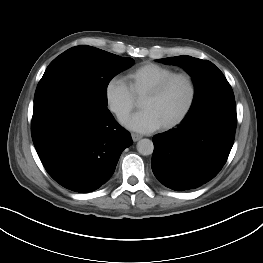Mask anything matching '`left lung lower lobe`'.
Here are the masks:
<instances>
[{
	"instance_id": "0a47b994",
	"label": "left lung lower lobe",
	"mask_w": 263,
	"mask_h": 263,
	"mask_svg": "<svg viewBox=\"0 0 263 263\" xmlns=\"http://www.w3.org/2000/svg\"><path fill=\"white\" fill-rule=\"evenodd\" d=\"M237 125L235 99L215 100L153 137L151 167L166 187L185 191L213 179L227 161Z\"/></svg>"
}]
</instances>
